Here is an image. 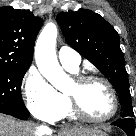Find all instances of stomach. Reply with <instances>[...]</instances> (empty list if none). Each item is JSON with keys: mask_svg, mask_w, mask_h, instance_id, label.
<instances>
[{"mask_svg": "<svg viewBox=\"0 0 136 136\" xmlns=\"http://www.w3.org/2000/svg\"><path fill=\"white\" fill-rule=\"evenodd\" d=\"M90 136H108V135L99 129L97 132H95L94 134Z\"/></svg>", "mask_w": 136, "mask_h": 136, "instance_id": "1", "label": "stomach"}]
</instances>
